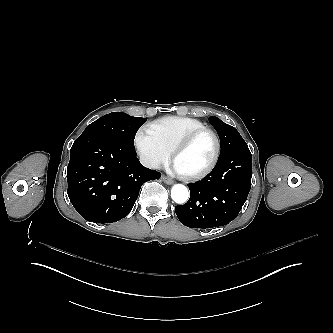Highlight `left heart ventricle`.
Masks as SVG:
<instances>
[{"label": "left heart ventricle", "instance_id": "obj_1", "mask_svg": "<svg viewBox=\"0 0 333 333\" xmlns=\"http://www.w3.org/2000/svg\"><path fill=\"white\" fill-rule=\"evenodd\" d=\"M215 152V142L209 133L199 135L183 151L173 157L175 164L184 175L193 174L204 168L212 159Z\"/></svg>", "mask_w": 333, "mask_h": 333}]
</instances>
